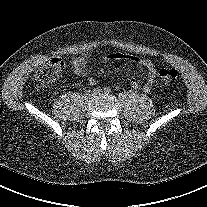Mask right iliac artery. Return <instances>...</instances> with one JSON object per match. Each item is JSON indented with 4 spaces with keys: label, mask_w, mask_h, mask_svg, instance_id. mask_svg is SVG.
Listing matches in <instances>:
<instances>
[{
    "label": "right iliac artery",
    "mask_w": 207,
    "mask_h": 207,
    "mask_svg": "<svg viewBox=\"0 0 207 207\" xmlns=\"http://www.w3.org/2000/svg\"><path fill=\"white\" fill-rule=\"evenodd\" d=\"M94 93H100L101 92V88L100 87H95L93 89Z\"/></svg>",
    "instance_id": "right-iliac-artery-1"
}]
</instances>
